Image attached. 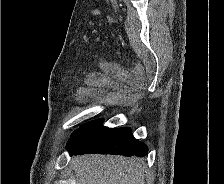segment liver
<instances>
[{
    "label": "liver",
    "instance_id": "liver-1",
    "mask_svg": "<svg viewBox=\"0 0 224 184\" xmlns=\"http://www.w3.org/2000/svg\"><path fill=\"white\" fill-rule=\"evenodd\" d=\"M76 184H144V165L138 158L86 155L72 160Z\"/></svg>",
    "mask_w": 224,
    "mask_h": 184
}]
</instances>
